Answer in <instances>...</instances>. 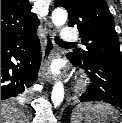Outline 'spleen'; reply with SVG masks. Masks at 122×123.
Segmentation results:
<instances>
[{"label": "spleen", "mask_w": 122, "mask_h": 123, "mask_svg": "<svg viewBox=\"0 0 122 123\" xmlns=\"http://www.w3.org/2000/svg\"><path fill=\"white\" fill-rule=\"evenodd\" d=\"M86 118L88 123H111V120H118L120 114L118 110L105 103H84L78 104L72 113L71 122L80 123L82 118Z\"/></svg>", "instance_id": "3e777b00"}]
</instances>
